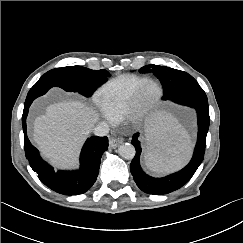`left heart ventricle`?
Listing matches in <instances>:
<instances>
[{
	"mask_svg": "<svg viewBox=\"0 0 243 243\" xmlns=\"http://www.w3.org/2000/svg\"><path fill=\"white\" fill-rule=\"evenodd\" d=\"M157 92V89L154 85H149L146 90H145V94H144V97L146 100H150L152 99L155 94Z\"/></svg>",
	"mask_w": 243,
	"mask_h": 243,
	"instance_id": "b2bd125f",
	"label": "left heart ventricle"
}]
</instances>
